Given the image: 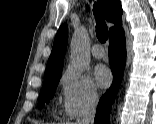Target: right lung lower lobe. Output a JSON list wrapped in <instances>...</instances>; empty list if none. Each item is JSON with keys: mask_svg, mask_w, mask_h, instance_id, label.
I'll return each mask as SVG.
<instances>
[{"mask_svg": "<svg viewBox=\"0 0 156 124\" xmlns=\"http://www.w3.org/2000/svg\"><path fill=\"white\" fill-rule=\"evenodd\" d=\"M109 61L113 73V83L99 101L94 124H109L111 106L117 95L126 61L125 34L123 29L116 31L110 36Z\"/></svg>", "mask_w": 156, "mask_h": 124, "instance_id": "1", "label": "right lung lower lobe"}]
</instances>
